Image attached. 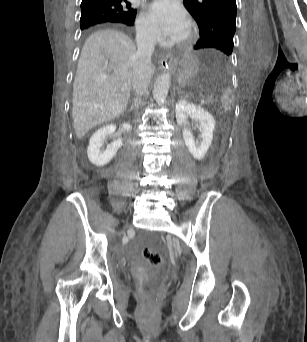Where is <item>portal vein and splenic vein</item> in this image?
Listing matches in <instances>:
<instances>
[{"label": "portal vein and splenic vein", "instance_id": "portal-vein-and-splenic-vein-1", "mask_svg": "<svg viewBox=\"0 0 307 342\" xmlns=\"http://www.w3.org/2000/svg\"><path fill=\"white\" fill-rule=\"evenodd\" d=\"M102 78H107V74H103ZM196 95H197L198 98H199L198 100L201 101L202 98H203L202 93H201L200 91H197V92H196ZM199 104H200L201 106H204V105H205V102H204V101H201Z\"/></svg>", "mask_w": 307, "mask_h": 342}]
</instances>
